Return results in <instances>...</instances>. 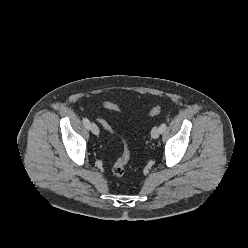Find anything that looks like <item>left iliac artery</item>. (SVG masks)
<instances>
[{
  "label": "left iliac artery",
  "mask_w": 248,
  "mask_h": 248,
  "mask_svg": "<svg viewBox=\"0 0 248 248\" xmlns=\"http://www.w3.org/2000/svg\"><path fill=\"white\" fill-rule=\"evenodd\" d=\"M166 128H167V124H166V123H162V124L160 125V127H159L160 133L165 132Z\"/></svg>",
  "instance_id": "44dca946"
}]
</instances>
